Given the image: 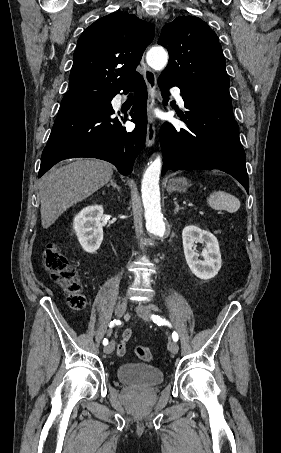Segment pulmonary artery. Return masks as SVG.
Listing matches in <instances>:
<instances>
[{
  "mask_svg": "<svg viewBox=\"0 0 281 453\" xmlns=\"http://www.w3.org/2000/svg\"><path fill=\"white\" fill-rule=\"evenodd\" d=\"M172 94H173V96L175 97V99L177 100V102L179 103V105H180V106H184V100H183V98H182V96H181L180 90H174V91L172 92ZM122 101H123V96L120 95V94H117V95L113 98L112 104H113L115 107H117V106H119V105L122 103Z\"/></svg>",
  "mask_w": 281,
  "mask_h": 453,
  "instance_id": "obj_1",
  "label": "pulmonary artery"
}]
</instances>
